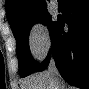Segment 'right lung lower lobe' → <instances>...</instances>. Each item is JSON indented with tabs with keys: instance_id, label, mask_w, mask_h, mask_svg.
I'll list each match as a JSON object with an SVG mask.
<instances>
[{
	"instance_id": "right-lung-lower-lobe-1",
	"label": "right lung lower lobe",
	"mask_w": 89,
	"mask_h": 89,
	"mask_svg": "<svg viewBox=\"0 0 89 89\" xmlns=\"http://www.w3.org/2000/svg\"><path fill=\"white\" fill-rule=\"evenodd\" d=\"M66 13L58 19L51 36V51L62 78L80 89L89 88V1L65 0ZM68 24V32L64 24ZM51 52L35 72L43 71Z\"/></svg>"
}]
</instances>
